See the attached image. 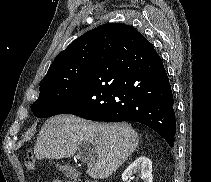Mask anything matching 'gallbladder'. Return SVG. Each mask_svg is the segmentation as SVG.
Wrapping results in <instances>:
<instances>
[{
  "label": "gallbladder",
  "instance_id": "gallbladder-1",
  "mask_svg": "<svg viewBox=\"0 0 211 182\" xmlns=\"http://www.w3.org/2000/svg\"><path fill=\"white\" fill-rule=\"evenodd\" d=\"M86 145H87V144H86ZM86 145H83V146L81 147V151L79 152V156H80L81 158H83L84 152L86 151V148H85ZM57 168H58L60 171H62V172L64 173V175H65L66 177H68V178H72V177H73V174H74V172H75L74 168L71 167V166H68V165H64V166L57 165Z\"/></svg>",
  "mask_w": 211,
  "mask_h": 182
}]
</instances>
